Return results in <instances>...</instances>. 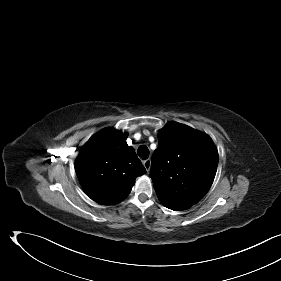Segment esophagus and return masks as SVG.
<instances>
[{
  "label": "esophagus",
  "mask_w": 281,
  "mask_h": 281,
  "mask_svg": "<svg viewBox=\"0 0 281 281\" xmlns=\"http://www.w3.org/2000/svg\"><path fill=\"white\" fill-rule=\"evenodd\" d=\"M143 165L145 167V169L147 170V172L150 170L151 167V160L150 159H146L143 161Z\"/></svg>",
  "instance_id": "34e87169"
}]
</instances>
